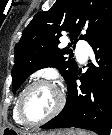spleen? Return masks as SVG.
Instances as JSON below:
<instances>
[{"instance_id":"spleen-1","label":"spleen","mask_w":112,"mask_h":135,"mask_svg":"<svg viewBox=\"0 0 112 135\" xmlns=\"http://www.w3.org/2000/svg\"><path fill=\"white\" fill-rule=\"evenodd\" d=\"M77 135H90V134L84 131H79L77 132Z\"/></svg>"}]
</instances>
